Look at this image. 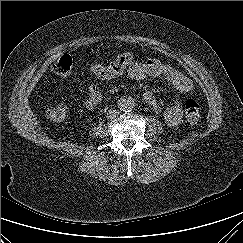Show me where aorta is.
<instances>
[{
  "mask_svg": "<svg viewBox=\"0 0 243 243\" xmlns=\"http://www.w3.org/2000/svg\"><path fill=\"white\" fill-rule=\"evenodd\" d=\"M118 106L121 111L131 112L135 107V101L130 96H123L118 100Z\"/></svg>",
  "mask_w": 243,
  "mask_h": 243,
  "instance_id": "762f6f07",
  "label": "aorta"
}]
</instances>
